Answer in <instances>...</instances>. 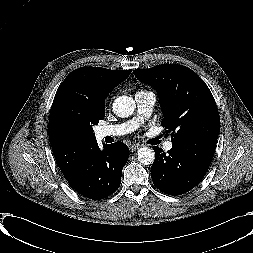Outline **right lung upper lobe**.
I'll list each match as a JSON object with an SVG mask.
<instances>
[{"label": "right lung upper lobe", "instance_id": "right-lung-upper-lobe-1", "mask_svg": "<svg viewBox=\"0 0 253 253\" xmlns=\"http://www.w3.org/2000/svg\"><path fill=\"white\" fill-rule=\"evenodd\" d=\"M131 71L81 67L71 72L58 88L48 132L55 160L66 180L97 144L92 121L105 114L106 96Z\"/></svg>", "mask_w": 253, "mask_h": 253}]
</instances>
